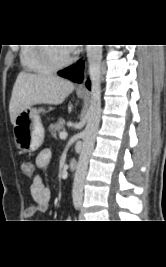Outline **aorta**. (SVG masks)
Returning <instances> with one entry per match:
<instances>
[{"label": "aorta", "mask_w": 166, "mask_h": 267, "mask_svg": "<svg viewBox=\"0 0 166 267\" xmlns=\"http://www.w3.org/2000/svg\"><path fill=\"white\" fill-rule=\"evenodd\" d=\"M86 50L91 80V100L87 112V125L83 134V147L73 181L72 196L75 202L82 201L85 175L89 158L94 148L101 116L102 45H87Z\"/></svg>", "instance_id": "1"}]
</instances>
